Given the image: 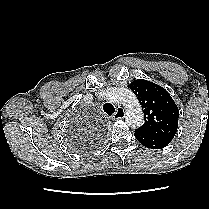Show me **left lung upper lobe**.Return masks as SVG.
I'll list each match as a JSON object with an SVG mask.
<instances>
[{
  "mask_svg": "<svg viewBox=\"0 0 209 209\" xmlns=\"http://www.w3.org/2000/svg\"><path fill=\"white\" fill-rule=\"evenodd\" d=\"M130 89L144 112L145 122L137 130L172 140L178 127L179 110L166 89L143 79L133 81Z\"/></svg>",
  "mask_w": 209,
  "mask_h": 209,
  "instance_id": "obj_1",
  "label": "left lung upper lobe"
}]
</instances>
